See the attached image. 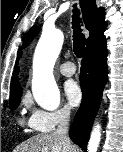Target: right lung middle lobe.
I'll return each instance as SVG.
<instances>
[{"mask_svg": "<svg viewBox=\"0 0 123 152\" xmlns=\"http://www.w3.org/2000/svg\"><path fill=\"white\" fill-rule=\"evenodd\" d=\"M21 95H22V90L10 95V103H9V108L11 110L15 109L18 107L20 101H21Z\"/></svg>", "mask_w": 123, "mask_h": 152, "instance_id": "1", "label": "right lung middle lobe"}]
</instances>
